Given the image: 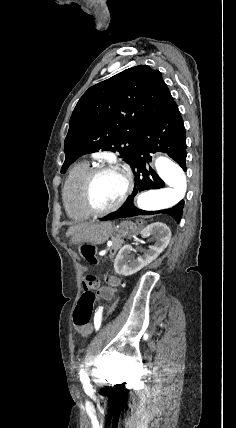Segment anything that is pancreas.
Here are the masks:
<instances>
[{
  "label": "pancreas",
  "instance_id": "1",
  "mask_svg": "<svg viewBox=\"0 0 236 428\" xmlns=\"http://www.w3.org/2000/svg\"><path fill=\"white\" fill-rule=\"evenodd\" d=\"M112 246L111 248H109L110 250V258H114L118 248H119V244L121 242V238H112Z\"/></svg>",
  "mask_w": 236,
  "mask_h": 428
}]
</instances>
